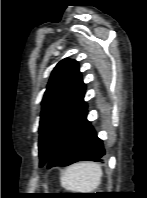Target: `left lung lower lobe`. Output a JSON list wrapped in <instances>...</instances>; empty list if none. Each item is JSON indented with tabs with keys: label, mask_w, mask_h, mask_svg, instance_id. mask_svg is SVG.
<instances>
[{
	"label": "left lung lower lobe",
	"mask_w": 147,
	"mask_h": 198,
	"mask_svg": "<svg viewBox=\"0 0 147 198\" xmlns=\"http://www.w3.org/2000/svg\"><path fill=\"white\" fill-rule=\"evenodd\" d=\"M86 117L87 106L55 146L46 163L48 168L68 166L78 161L102 160L105 155L102 140Z\"/></svg>",
	"instance_id": "0a47b994"
}]
</instances>
